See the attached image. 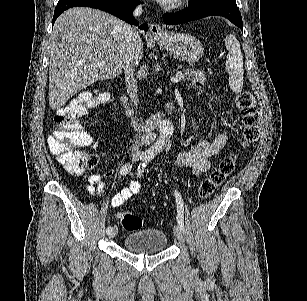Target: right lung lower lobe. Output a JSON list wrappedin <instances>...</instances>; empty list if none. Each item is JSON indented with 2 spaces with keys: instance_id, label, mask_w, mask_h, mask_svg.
I'll list each match as a JSON object with an SVG mask.
<instances>
[{
  "instance_id": "98d812e1",
  "label": "right lung lower lobe",
  "mask_w": 307,
  "mask_h": 301,
  "mask_svg": "<svg viewBox=\"0 0 307 301\" xmlns=\"http://www.w3.org/2000/svg\"><path fill=\"white\" fill-rule=\"evenodd\" d=\"M138 2L139 0H59L54 12L53 24L57 17L65 10L72 7L85 6L103 10L129 24L137 25V22L132 17V13ZM139 28L146 31L147 25L142 24Z\"/></svg>"
}]
</instances>
